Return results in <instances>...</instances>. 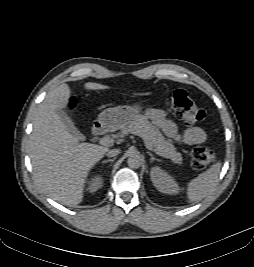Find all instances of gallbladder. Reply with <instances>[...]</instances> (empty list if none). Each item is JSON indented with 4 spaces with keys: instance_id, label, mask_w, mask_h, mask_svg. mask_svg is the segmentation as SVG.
<instances>
[{
    "instance_id": "obj_1",
    "label": "gallbladder",
    "mask_w": 254,
    "mask_h": 267,
    "mask_svg": "<svg viewBox=\"0 0 254 267\" xmlns=\"http://www.w3.org/2000/svg\"><path fill=\"white\" fill-rule=\"evenodd\" d=\"M56 114L59 116V118L61 119L62 123L65 125L66 129L73 134L75 137H77L78 139H83V135L81 134V132L75 127L73 121L70 119V117L67 115V113L62 110H56Z\"/></svg>"
}]
</instances>
